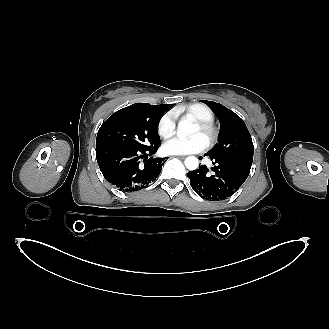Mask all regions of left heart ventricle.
Returning a JSON list of instances; mask_svg holds the SVG:
<instances>
[{"label": "left heart ventricle", "instance_id": "b2bd125f", "mask_svg": "<svg viewBox=\"0 0 329 329\" xmlns=\"http://www.w3.org/2000/svg\"><path fill=\"white\" fill-rule=\"evenodd\" d=\"M190 134H191V135L199 134V135L203 136V137L207 140L206 135H205L204 133L201 132V130L199 129V127H198L197 125H194V126H193V129H192V131L190 132Z\"/></svg>", "mask_w": 329, "mask_h": 329}]
</instances>
